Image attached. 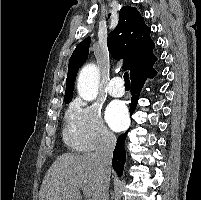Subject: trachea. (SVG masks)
I'll return each mask as SVG.
<instances>
[{"mask_svg": "<svg viewBox=\"0 0 201 200\" xmlns=\"http://www.w3.org/2000/svg\"><path fill=\"white\" fill-rule=\"evenodd\" d=\"M124 82H125V86H130V79H129V74L128 72H126L124 74Z\"/></svg>", "mask_w": 201, "mask_h": 200, "instance_id": "obj_1", "label": "trachea"}]
</instances>
